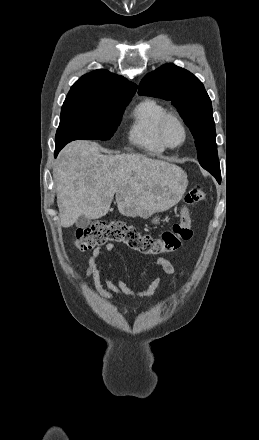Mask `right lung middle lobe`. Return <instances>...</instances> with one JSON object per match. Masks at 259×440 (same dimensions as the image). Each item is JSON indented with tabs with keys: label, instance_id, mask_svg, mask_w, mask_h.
<instances>
[{
	"label": "right lung middle lobe",
	"instance_id": "dd1d6c3e",
	"mask_svg": "<svg viewBox=\"0 0 259 440\" xmlns=\"http://www.w3.org/2000/svg\"><path fill=\"white\" fill-rule=\"evenodd\" d=\"M130 101L131 98H127L110 105L65 101L55 143L64 146L77 139H110Z\"/></svg>",
	"mask_w": 259,
	"mask_h": 440
}]
</instances>
